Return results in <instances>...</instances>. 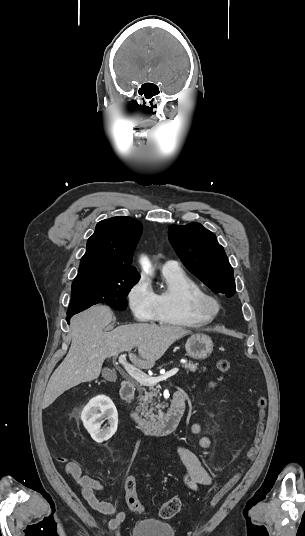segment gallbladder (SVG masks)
<instances>
[{
	"label": "gallbladder",
	"mask_w": 305,
	"mask_h": 536,
	"mask_svg": "<svg viewBox=\"0 0 305 536\" xmlns=\"http://www.w3.org/2000/svg\"><path fill=\"white\" fill-rule=\"evenodd\" d=\"M113 376L114 372H112V370H109V368H104V370H102V378H105V380H111Z\"/></svg>",
	"instance_id": "bac80fb5"
}]
</instances>
